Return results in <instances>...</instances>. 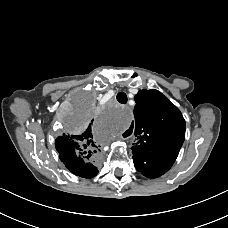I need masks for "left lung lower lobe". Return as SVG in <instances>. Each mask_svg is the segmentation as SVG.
<instances>
[{"label": "left lung lower lobe", "instance_id": "1", "mask_svg": "<svg viewBox=\"0 0 228 228\" xmlns=\"http://www.w3.org/2000/svg\"><path fill=\"white\" fill-rule=\"evenodd\" d=\"M133 161L137 170L144 176L156 178L167 172L173 165L175 159L158 157L149 153H133Z\"/></svg>", "mask_w": 228, "mask_h": 228}]
</instances>
